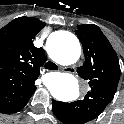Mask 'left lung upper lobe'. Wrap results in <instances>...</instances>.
<instances>
[{
  "instance_id": "obj_1",
  "label": "left lung upper lobe",
  "mask_w": 124,
  "mask_h": 124,
  "mask_svg": "<svg viewBox=\"0 0 124 124\" xmlns=\"http://www.w3.org/2000/svg\"><path fill=\"white\" fill-rule=\"evenodd\" d=\"M76 34L85 56L77 72L88 81L90 90L82 100L61 102L66 124H85L98 117L112 101L120 79L117 54L100 28L93 24L79 25Z\"/></svg>"
}]
</instances>
